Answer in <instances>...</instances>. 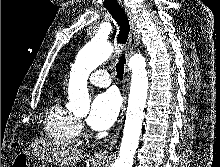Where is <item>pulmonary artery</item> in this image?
Here are the masks:
<instances>
[{
  "label": "pulmonary artery",
  "mask_w": 220,
  "mask_h": 167,
  "mask_svg": "<svg viewBox=\"0 0 220 167\" xmlns=\"http://www.w3.org/2000/svg\"><path fill=\"white\" fill-rule=\"evenodd\" d=\"M88 80L92 85L97 87H107L112 82L109 73L104 69H98L92 72Z\"/></svg>",
  "instance_id": "obj_1"
}]
</instances>
